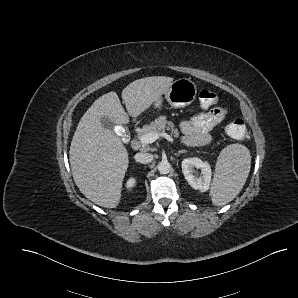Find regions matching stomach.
<instances>
[{
  "label": "stomach",
  "mask_w": 298,
  "mask_h": 298,
  "mask_svg": "<svg viewBox=\"0 0 298 298\" xmlns=\"http://www.w3.org/2000/svg\"><path fill=\"white\" fill-rule=\"evenodd\" d=\"M197 95V87L188 78L173 80L167 90L157 101L153 103V109L161 111L166 101L173 108H182L190 105Z\"/></svg>",
  "instance_id": "0dacf381"
}]
</instances>
